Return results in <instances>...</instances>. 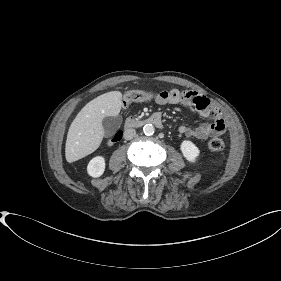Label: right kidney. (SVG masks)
<instances>
[{
  "label": "right kidney",
  "mask_w": 281,
  "mask_h": 281,
  "mask_svg": "<svg viewBox=\"0 0 281 281\" xmlns=\"http://www.w3.org/2000/svg\"><path fill=\"white\" fill-rule=\"evenodd\" d=\"M105 171V159L102 156H96L90 160L87 166V172L91 177H100Z\"/></svg>",
  "instance_id": "ca27d5eb"
}]
</instances>
